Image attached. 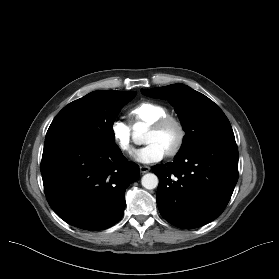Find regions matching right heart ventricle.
<instances>
[{"label":"right heart ventricle","instance_id":"obj_1","mask_svg":"<svg viewBox=\"0 0 279 279\" xmlns=\"http://www.w3.org/2000/svg\"><path fill=\"white\" fill-rule=\"evenodd\" d=\"M168 114V109L165 106L152 101L140 102L130 111V116L134 119L135 123H145L149 125Z\"/></svg>","mask_w":279,"mask_h":279}]
</instances>
